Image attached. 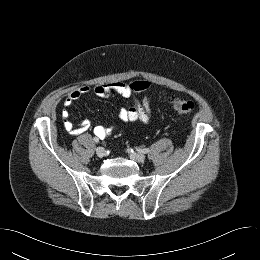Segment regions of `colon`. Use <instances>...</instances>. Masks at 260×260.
Listing matches in <instances>:
<instances>
[{
  "instance_id": "obj_1",
  "label": "colon",
  "mask_w": 260,
  "mask_h": 260,
  "mask_svg": "<svg viewBox=\"0 0 260 260\" xmlns=\"http://www.w3.org/2000/svg\"><path fill=\"white\" fill-rule=\"evenodd\" d=\"M168 103L179 114H189L195 109V104L191 100L176 97H168Z\"/></svg>"
}]
</instances>
